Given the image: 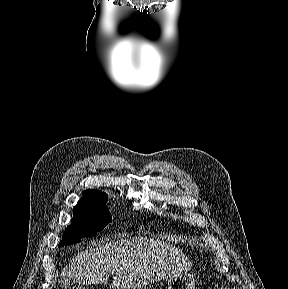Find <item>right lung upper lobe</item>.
Returning a JSON list of instances; mask_svg holds the SVG:
<instances>
[{
    "label": "right lung upper lobe",
    "instance_id": "cb5924a9",
    "mask_svg": "<svg viewBox=\"0 0 288 289\" xmlns=\"http://www.w3.org/2000/svg\"><path fill=\"white\" fill-rule=\"evenodd\" d=\"M105 193H102L101 191L95 190V189H88L83 192V198H95L98 196H102Z\"/></svg>",
    "mask_w": 288,
    "mask_h": 289
}]
</instances>
